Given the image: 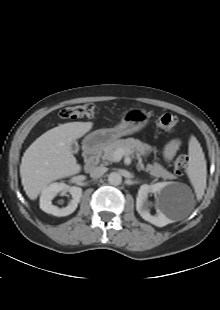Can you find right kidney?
<instances>
[{
  "label": "right kidney",
  "instance_id": "obj_1",
  "mask_svg": "<svg viewBox=\"0 0 220 310\" xmlns=\"http://www.w3.org/2000/svg\"><path fill=\"white\" fill-rule=\"evenodd\" d=\"M61 191H69L72 195V200L68 204V206L64 208H58L57 206L52 205V199ZM82 196V189L77 186H68L63 182H55L47 186L45 189L42 190L40 196V208L54 216H67L73 213L78 203L80 202V198Z\"/></svg>",
  "mask_w": 220,
  "mask_h": 310
}]
</instances>
